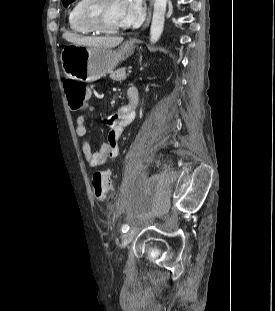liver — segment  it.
I'll return each mask as SVG.
<instances>
[{
	"mask_svg": "<svg viewBox=\"0 0 275 311\" xmlns=\"http://www.w3.org/2000/svg\"><path fill=\"white\" fill-rule=\"evenodd\" d=\"M62 37L73 44L107 49L114 48L123 41V37H88L68 32L64 33Z\"/></svg>",
	"mask_w": 275,
	"mask_h": 311,
	"instance_id": "obj_1",
	"label": "liver"
}]
</instances>
